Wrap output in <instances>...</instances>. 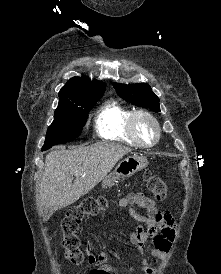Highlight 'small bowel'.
<instances>
[{
	"label": "small bowel",
	"instance_id": "1",
	"mask_svg": "<svg viewBox=\"0 0 221 274\" xmlns=\"http://www.w3.org/2000/svg\"><path fill=\"white\" fill-rule=\"evenodd\" d=\"M119 206L128 211L130 216L139 222L131 232L129 240L142 256L138 269L142 274H153V263L167 256L171 251L175 239V221L169 211H160L155 203L142 193H130L119 201ZM133 206L143 209L144 214L138 213ZM150 243L151 248L146 251L145 246ZM88 262L94 267L89 274H122L117 268L108 265L110 254L94 253L91 245H86ZM113 256L119 258L114 253ZM121 262L131 273L136 268L121 259Z\"/></svg>",
	"mask_w": 221,
	"mask_h": 274
}]
</instances>
